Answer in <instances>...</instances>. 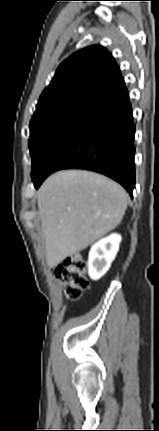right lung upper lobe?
<instances>
[{
	"instance_id": "1",
	"label": "right lung upper lobe",
	"mask_w": 159,
	"mask_h": 431,
	"mask_svg": "<svg viewBox=\"0 0 159 431\" xmlns=\"http://www.w3.org/2000/svg\"><path fill=\"white\" fill-rule=\"evenodd\" d=\"M129 99L112 55L93 45L73 53L42 92L31 122L53 114L89 118Z\"/></svg>"
}]
</instances>
